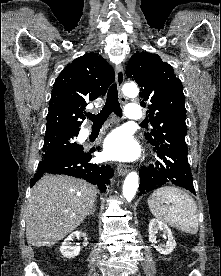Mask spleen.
<instances>
[{"label": "spleen", "mask_w": 221, "mask_h": 276, "mask_svg": "<svg viewBox=\"0 0 221 276\" xmlns=\"http://www.w3.org/2000/svg\"><path fill=\"white\" fill-rule=\"evenodd\" d=\"M148 206L154 217L170 226L191 235L198 232L197 205L194 199L182 189L177 187L156 189L148 198Z\"/></svg>", "instance_id": "3e777b00"}]
</instances>
